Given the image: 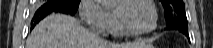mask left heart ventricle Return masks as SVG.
I'll return each mask as SVG.
<instances>
[{
    "instance_id": "1",
    "label": "left heart ventricle",
    "mask_w": 213,
    "mask_h": 48,
    "mask_svg": "<svg viewBox=\"0 0 213 48\" xmlns=\"http://www.w3.org/2000/svg\"><path fill=\"white\" fill-rule=\"evenodd\" d=\"M114 11L119 12L125 23L137 31H145L152 26L153 13L149 5L141 1L128 4L122 2L114 7Z\"/></svg>"
}]
</instances>
